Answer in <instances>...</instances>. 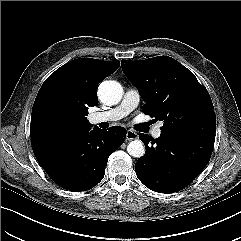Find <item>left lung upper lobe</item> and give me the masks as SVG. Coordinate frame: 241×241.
Returning <instances> with one entry per match:
<instances>
[{"label": "left lung upper lobe", "mask_w": 241, "mask_h": 241, "mask_svg": "<svg viewBox=\"0 0 241 241\" xmlns=\"http://www.w3.org/2000/svg\"><path fill=\"white\" fill-rule=\"evenodd\" d=\"M121 65L146 102L143 112L164 121L161 131L215 140L211 98L189 69L168 56L122 60Z\"/></svg>", "instance_id": "1"}]
</instances>
